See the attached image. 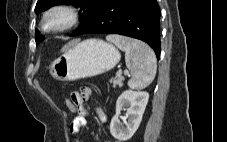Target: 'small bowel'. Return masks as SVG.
Instances as JSON below:
<instances>
[{
  "label": "small bowel",
  "instance_id": "small-bowel-1",
  "mask_svg": "<svg viewBox=\"0 0 227 142\" xmlns=\"http://www.w3.org/2000/svg\"><path fill=\"white\" fill-rule=\"evenodd\" d=\"M93 91L89 87H83L80 91H73L71 93V100L76 105L79 115L74 118V120L71 122L69 126V131L73 136H77L79 131L86 126L87 124V117H88V111L84 107V103L89 100L91 97ZM96 114L98 117V120L100 122H107L108 116L105 112H103L99 107H96ZM78 142V140L76 141ZM105 142H112V141H105ZM119 142V141H114Z\"/></svg>",
  "mask_w": 227,
  "mask_h": 142
}]
</instances>
